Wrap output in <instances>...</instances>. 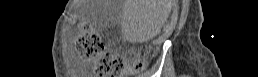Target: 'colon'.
I'll return each instance as SVG.
<instances>
[{
    "label": "colon",
    "instance_id": "1",
    "mask_svg": "<svg viewBox=\"0 0 258 77\" xmlns=\"http://www.w3.org/2000/svg\"><path fill=\"white\" fill-rule=\"evenodd\" d=\"M76 49L82 58L97 60L96 72L98 74L119 72L129 65L135 72L141 71L144 67L142 61L130 62L120 56L106 53L99 35L87 26L76 41Z\"/></svg>",
    "mask_w": 258,
    "mask_h": 77
}]
</instances>
